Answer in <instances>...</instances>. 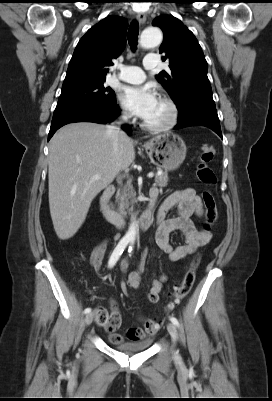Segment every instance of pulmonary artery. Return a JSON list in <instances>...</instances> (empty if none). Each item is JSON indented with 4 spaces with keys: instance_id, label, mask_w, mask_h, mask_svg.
<instances>
[{
    "instance_id": "e3ab8cb5",
    "label": "pulmonary artery",
    "mask_w": 272,
    "mask_h": 401,
    "mask_svg": "<svg viewBox=\"0 0 272 401\" xmlns=\"http://www.w3.org/2000/svg\"><path fill=\"white\" fill-rule=\"evenodd\" d=\"M143 65L147 70L154 69L158 66V58L155 55L147 56L144 59ZM117 68L120 70L118 79L123 82L138 84L145 79V72L139 67L117 65Z\"/></svg>"
}]
</instances>
